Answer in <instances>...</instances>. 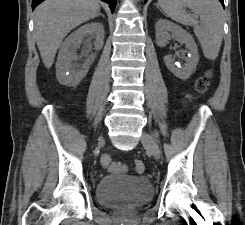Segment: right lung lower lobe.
<instances>
[{"label":"right lung lower lobe","mask_w":245,"mask_h":225,"mask_svg":"<svg viewBox=\"0 0 245 225\" xmlns=\"http://www.w3.org/2000/svg\"><path fill=\"white\" fill-rule=\"evenodd\" d=\"M42 1H44V0H32V9H34ZM102 1L110 4V8H111L112 12L114 11L115 6H116V0H102Z\"/></svg>","instance_id":"98d812e1"}]
</instances>
